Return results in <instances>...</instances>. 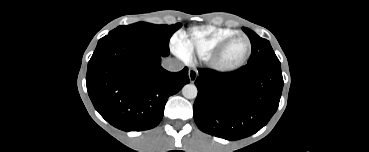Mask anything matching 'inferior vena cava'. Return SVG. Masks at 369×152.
I'll list each match as a JSON object with an SVG mask.
<instances>
[{
    "label": "inferior vena cava",
    "mask_w": 369,
    "mask_h": 152,
    "mask_svg": "<svg viewBox=\"0 0 369 152\" xmlns=\"http://www.w3.org/2000/svg\"><path fill=\"white\" fill-rule=\"evenodd\" d=\"M162 66L164 69L170 72H178L183 68L182 64L178 60L173 58L164 59L162 62Z\"/></svg>",
    "instance_id": "602c4592"
}]
</instances>
